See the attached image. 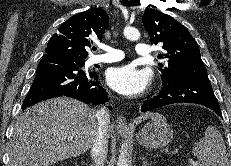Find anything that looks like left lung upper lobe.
I'll return each mask as SVG.
<instances>
[{
    "mask_svg": "<svg viewBox=\"0 0 231 166\" xmlns=\"http://www.w3.org/2000/svg\"><path fill=\"white\" fill-rule=\"evenodd\" d=\"M143 26L152 44H163L161 57L168 61V65H160L162 83L178 78L208 79L199 47L181 23L167 14L148 9L143 14Z\"/></svg>",
    "mask_w": 231,
    "mask_h": 166,
    "instance_id": "5c2ea615",
    "label": "left lung upper lobe"
}]
</instances>
